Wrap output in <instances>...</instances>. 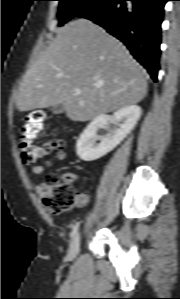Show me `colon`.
I'll use <instances>...</instances> for the list:
<instances>
[{
	"label": "colon",
	"mask_w": 180,
	"mask_h": 299,
	"mask_svg": "<svg viewBox=\"0 0 180 299\" xmlns=\"http://www.w3.org/2000/svg\"><path fill=\"white\" fill-rule=\"evenodd\" d=\"M46 115L41 110L30 111L20 127L19 150L22 161L27 165L36 163L41 156L51 149H62L61 139L49 140L43 145L35 142L37 136L44 130ZM77 194L64 178L51 177L47 181V193L43 203L49 211L57 213L74 206Z\"/></svg>",
	"instance_id": "1"
}]
</instances>
